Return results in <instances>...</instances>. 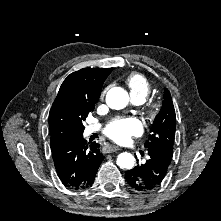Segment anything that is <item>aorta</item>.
Segmentation results:
<instances>
[{
	"label": "aorta",
	"mask_w": 221,
	"mask_h": 221,
	"mask_svg": "<svg viewBox=\"0 0 221 221\" xmlns=\"http://www.w3.org/2000/svg\"><path fill=\"white\" fill-rule=\"evenodd\" d=\"M129 102L128 93L121 87L111 88L106 95V103L111 109L120 110L127 106ZM135 158L132 154L123 152L117 157V165L120 168L132 169Z\"/></svg>",
	"instance_id": "obj_1"
}]
</instances>
